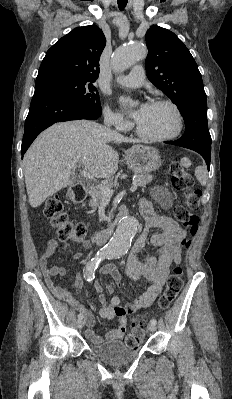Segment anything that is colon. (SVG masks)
<instances>
[{
  "instance_id": "5ec220e1",
  "label": "colon",
  "mask_w": 232,
  "mask_h": 399,
  "mask_svg": "<svg viewBox=\"0 0 232 399\" xmlns=\"http://www.w3.org/2000/svg\"><path fill=\"white\" fill-rule=\"evenodd\" d=\"M183 168H193V163H189V160H174V167L171 170V175L183 188V196L189 203H180V207L175 209L176 218H181V222H184L183 229L188 230L189 238H183V243H192L194 239L193 230H197L199 226V217H190V214H196L197 208L201 202V191H196L195 181L192 175H189L188 171ZM44 211L43 216H47L50 219V225L54 231L59 232L61 239L69 237L73 240H78L81 236L86 235V223L77 222V227L70 224L68 221H64L65 214H60L63 208V203L54 197L48 198L43 205ZM184 273V267L180 263H175L169 269V274L175 276H166L167 289L162 293V299L159 305H156L152 309V314L156 318H161L165 312H168L172 308V303L175 299V295L182 289L180 282V275ZM56 290L62 289L61 283L55 284ZM144 330H146V322H133L132 329L129 331L126 342H123V347H137L139 341L145 338Z\"/></svg>"
}]
</instances>
